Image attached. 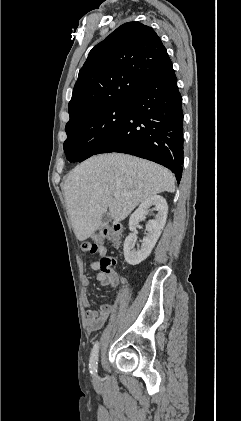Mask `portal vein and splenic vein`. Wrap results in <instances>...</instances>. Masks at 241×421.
<instances>
[{"mask_svg":"<svg viewBox=\"0 0 241 421\" xmlns=\"http://www.w3.org/2000/svg\"><path fill=\"white\" fill-rule=\"evenodd\" d=\"M113 196H114L115 198H117V197H119V196H120V193H119V192H115V193L113 194Z\"/></svg>","mask_w":241,"mask_h":421,"instance_id":"obj_1","label":"portal vein and splenic vein"}]
</instances>
